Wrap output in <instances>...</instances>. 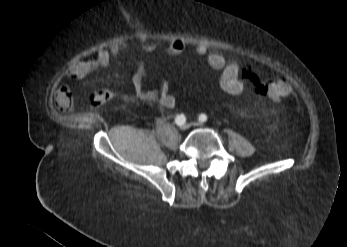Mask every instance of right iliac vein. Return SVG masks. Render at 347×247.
I'll list each match as a JSON object with an SVG mask.
<instances>
[{"instance_id":"63e3f726","label":"right iliac vein","mask_w":347,"mask_h":247,"mask_svg":"<svg viewBox=\"0 0 347 247\" xmlns=\"http://www.w3.org/2000/svg\"><path fill=\"white\" fill-rule=\"evenodd\" d=\"M188 128H189V126L187 124L180 126V129L182 131H186Z\"/></svg>"}]
</instances>
